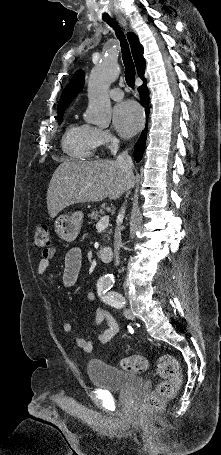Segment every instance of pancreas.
<instances>
[{
	"label": "pancreas",
	"mask_w": 221,
	"mask_h": 455,
	"mask_svg": "<svg viewBox=\"0 0 221 455\" xmlns=\"http://www.w3.org/2000/svg\"><path fill=\"white\" fill-rule=\"evenodd\" d=\"M103 214H104V211L102 209H100V210L94 209V210H92L91 213L88 214V217L92 220L97 221L98 218H100Z\"/></svg>",
	"instance_id": "obj_1"
}]
</instances>
